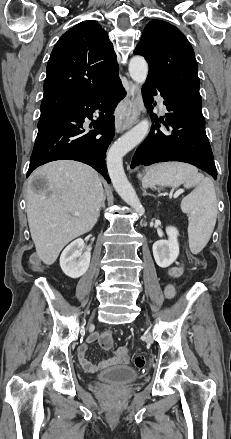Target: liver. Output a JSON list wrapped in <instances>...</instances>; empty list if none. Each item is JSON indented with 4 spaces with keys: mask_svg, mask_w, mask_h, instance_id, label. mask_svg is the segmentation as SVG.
Segmentation results:
<instances>
[{
    "mask_svg": "<svg viewBox=\"0 0 231 439\" xmlns=\"http://www.w3.org/2000/svg\"><path fill=\"white\" fill-rule=\"evenodd\" d=\"M38 177L47 181L41 192L31 186ZM103 194L98 173L80 162L53 161L33 172L26 194L27 218L43 263L52 265L70 241L94 227Z\"/></svg>",
    "mask_w": 231,
    "mask_h": 439,
    "instance_id": "liver-1",
    "label": "liver"
}]
</instances>
